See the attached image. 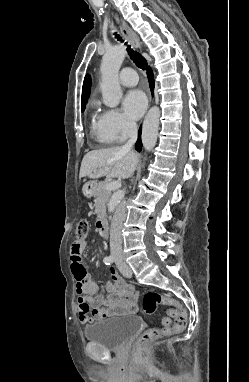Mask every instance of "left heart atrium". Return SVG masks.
Masks as SVG:
<instances>
[{
  "mask_svg": "<svg viewBox=\"0 0 249 382\" xmlns=\"http://www.w3.org/2000/svg\"><path fill=\"white\" fill-rule=\"evenodd\" d=\"M147 107V97L140 89L129 91L123 99V108L126 115L136 120L142 116Z\"/></svg>",
  "mask_w": 249,
  "mask_h": 382,
  "instance_id": "obj_1",
  "label": "left heart atrium"
}]
</instances>
